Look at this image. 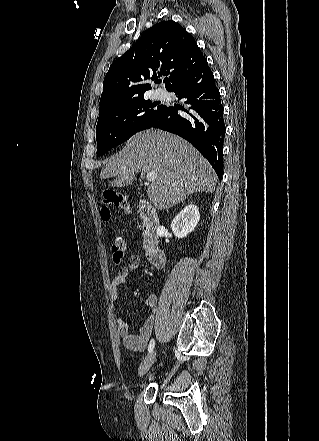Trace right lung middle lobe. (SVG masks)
Wrapping results in <instances>:
<instances>
[{
	"instance_id": "right-lung-middle-lobe-1",
	"label": "right lung middle lobe",
	"mask_w": 319,
	"mask_h": 441,
	"mask_svg": "<svg viewBox=\"0 0 319 441\" xmlns=\"http://www.w3.org/2000/svg\"><path fill=\"white\" fill-rule=\"evenodd\" d=\"M164 108V105L142 98L100 111L96 126L97 156L125 142L133 134L151 128Z\"/></svg>"
}]
</instances>
